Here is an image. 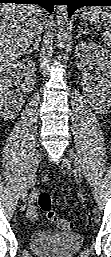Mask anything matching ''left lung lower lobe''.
<instances>
[{
  "label": "left lung lower lobe",
  "mask_w": 111,
  "mask_h": 257,
  "mask_svg": "<svg viewBox=\"0 0 111 257\" xmlns=\"http://www.w3.org/2000/svg\"><path fill=\"white\" fill-rule=\"evenodd\" d=\"M68 15L83 6H111V0H67Z\"/></svg>",
  "instance_id": "0a47b994"
}]
</instances>
